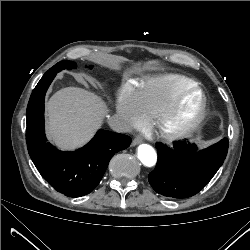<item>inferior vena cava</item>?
Here are the masks:
<instances>
[{
  "label": "inferior vena cava",
  "mask_w": 250,
  "mask_h": 250,
  "mask_svg": "<svg viewBox=\"0 0 250 250\" xmlns=\"http://www.w3.org/2000/svg\"><path fill=\"white\" fill-rule=\"evenodd\" d=\"M108 124L112 130L119 132V133L131 131V126L129 122L125 118L118 116V115L112 116L109 119Z\"/></svg>",
  "instance_id": "602c4592"
}]
</instances>
